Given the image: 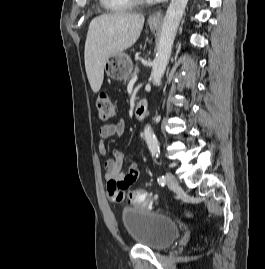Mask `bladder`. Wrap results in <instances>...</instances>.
Segmentation results:
<instances>
[{
	"label": "bladder",
	"mask_w": 265,
	"mask_h": 269,
	"mask_svg": "<svg viewBox=\"0 0 265 269\" xmlns=\"http://www.w3.org/2000/svg\"><path fill=\"white\" fill-rule=\"evenodd\" d=\"M120 216L124 229L135 244L152 250L168 248L180 235L179 225L162 214L125 207Z\"/></svg>",
	"instance_id": "obj_1"
}]
</instances>
